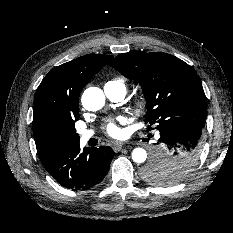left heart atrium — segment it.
Masks as SVG:
<instances>
[{
  "mask_svg": "<svg viewBox=\"0 0 233 233\" xmlns=\"http://www.w3.org/2000/svg\"><path fill=\"white\" fill-rule=\"evenodd\" d=\"M117 121H118V122H121L122 119H121V118H118ZM117 121L111 120V121H109V122L106 124L105 130H106V133H107L110 137L119 138V137L122 136V130H121V128L119 127Z\"/></svg>",
  "mask_w": 233,
  "mask_h": 233,
  "instance_id": "1",
  "label": "left heart atrium"
}]
</instances>
